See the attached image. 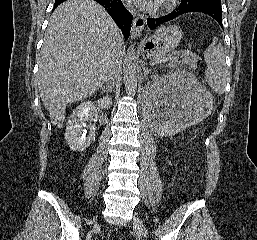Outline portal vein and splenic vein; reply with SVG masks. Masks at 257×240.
Masks as SVG:
<instances>
[{
  "label": "portal vein and splenic vein",
  "mask_w": 257,
  "mask_h": 240,
  "mask_svg": "<svg viewBox=\"0 0 257 240\" xmlns=\"http://www.w3.org/2000/svg\"><path fill=\"white\" fill-rule=\"evenodd\" d=\"M172 59H174V58L169 56V57H163V58L159 59V61L165 62V61L172 60ZM154 63H156V62L151 63V65H153Z\"/></svg>",
  "instance_id": "portal-vein-and-splenic-vein-1"
}]
</instances>
